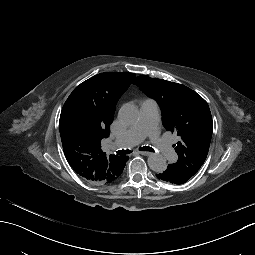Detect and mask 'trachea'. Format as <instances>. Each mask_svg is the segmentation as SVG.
<instances>
[{
    "mask_svg": "<svg viewBox=\"0 0 255 255\" xmlns=\"http://www.w3.org/2000/svg\"><path fill=\"white\" fill-rule=\"evenodd\" d=\"M139 150L147 151V152H155L154 149L149 146H143V147L139 148ZM131 152H132L131 150H118L116 153H117V155H126V154H130Z\"/></svg>",
    "mask_w": 255,
    "mask_h": 255,
    "instance_id": "3493384b",
    "label": "trachea"
}]
</instances>
